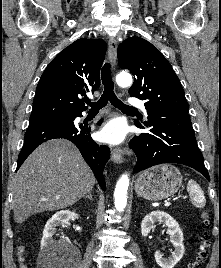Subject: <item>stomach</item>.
Segmentation results:
<instances>
[{"label": "stomach", "mask_w": 221, "mask_h": 268, "mask_svg": "<svg viewBox=\"0 0 221 268\" xmlns=\"http://www.w3.org/2000/svg\"><path fill=\"white\" fill-rule=\"evenodd\" d=\"M182 184V175L171 164H161L142 172L135 182L136 193L149 200H162L174 195Z\"/></svg>", "instance_id": "stomach-1"}]
</instances>
